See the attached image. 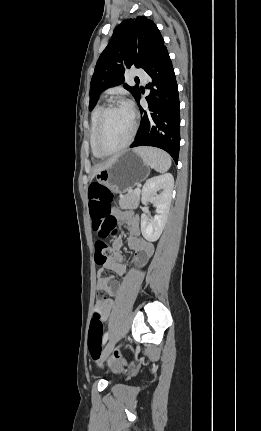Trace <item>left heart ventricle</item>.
<instances>
[{
    "instance_id": "obj_1",
    "label": "left heart ventricle",
    "mask_w": 261,
    "mask_h": 431,
    "mask_svg": "<svg viewBox=\"0 0 261 431\" xmlns=\"http://www.w3.org/2000/svg\"><path fill=\"white\" fill-rule=\"evenodd\" d=\"M132 128V115L125 106H117L105 117L101 133V144L106 150L121 146L128 138Z\"/></svg>"
}]
</instances>
